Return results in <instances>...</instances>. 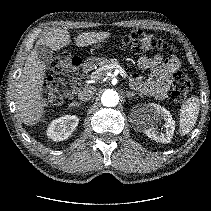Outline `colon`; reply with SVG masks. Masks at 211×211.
Returning a JSON list of instances; mask_svg holds the SVG:
<instances>
[{
    "label": "colon",
    "mask_w": 211,
    "mask_h": 211,
    "mask_svg": "<svg viewBox=\"0 0 211 211\" xmlns=\"http://www.w3.org/2000/svg\"><path fill=\"white\" fill-rule=\"evenodd\" d=\"M123 44L135 53L175 50V46L173 44H170L164 39L155 37L143 30H136L126 35L123 39ZM80 66L81 59L79 57H69L68 55L63 54L54 60L50 64L49 68L55 73L67 72L70 77H73L75 71L78 70ZM191 86L192 84L190 79L182 71L174 72L172 78V99L178 102L183 101L191 90ZM45 87L51 101L54 103H61L63 101L65 93L56 82V77L54 75L47 78Z\"/></svg>",
    "instance_id": "colon-1"
}]
</instances>
